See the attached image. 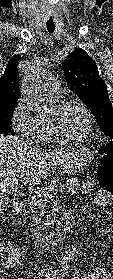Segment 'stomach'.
<instances>
[{"instance_id":"obj_1","label":"stomach","mask_w":113,"mask_h":279,"mask_svg":"<svg viewBox=\"0 0 113 279\" xmlns=\"http://www.w3.org/2000/svg\"><path fill=\"white\" fill-rule=\"evenodd\" d=\"M94 160V152L85 146L72 149L71 155L63 162V170L74 175L83 170Z\"/></svg>"}]
</instances>
